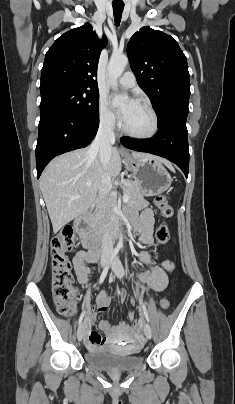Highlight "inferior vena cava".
<instances>
[{"instance_id":"inferior-vena-cava-1","label":"inferior vena cava","mask_w":235,"mask_h":404,"mask_svg":"<svg viewBox=\"0 0 235 404\" xmlns=\"http://www.w3.org/2000/svg\"><path fill=\"white\" fill-rule=\"evenodd\" d=\"M114 120L107 119L100 123L97 135L90 146V152L98 151L101 163L107 169L112 152V144L115 142ZM112 182L109 174H105L100 189V198L103 201L106 198L108 190L111 189ZM102 255L111 254L113 252V240L109 230L104 232L102 238Z\"/></svg>"}]
</instances>
